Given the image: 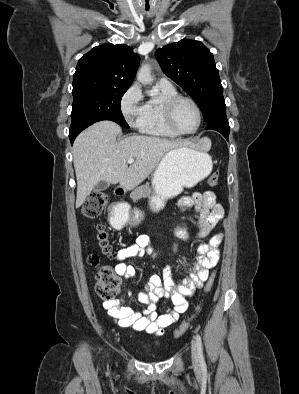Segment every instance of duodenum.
Returning <instances> with one entry per match:
<instances>
[{"mask_svg":"<svg viewBox=\"0 0 299 394\" xmlns=\"http://www.w3.org/2000/svg\"><path fill=\"white\" fill-rule=\"evenodd\" d=\"M116 191H117L119 194H123V193H124V187H123L122 185H119V186H117Z\"/></svg>","mask_w":299,"mask_h":394,"instance_id":"duodenum-1","label":"duodenum"}]
</instances>
